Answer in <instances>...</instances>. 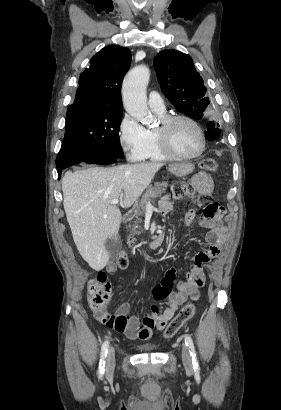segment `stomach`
<instances>
[{
	"label": "stomach",
	"instance_id": "1",
	"mask_svg": "<svg viewBox=\"0 0 281 410\" xmlns=\"http://www.w3.org/2000/svg\"><path fill=\"white\" fill-rule=\"evenodd\" d=\"M169 170L176 177H184L194 170V165L191 163L174 164L169 167Z\"/></svg>",
	"mask_w": 281,
	"mask_h": 410
}]
</instances>
